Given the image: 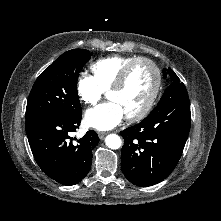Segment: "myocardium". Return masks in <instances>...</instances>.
<instances>
[{"label": "myocardium", "instance_id": "myocardium-1", "mask_svg": "<svg viewBox=\"0 0 221 221\" xmlns=\"http://www.w3.org/2000/svg\"><path fill=\"white\" fill-rule=\"evenodd\" d=\"M138 63H146L153 69L154 74H155V82H154V87H153L152 93H151L147 103L144 105V107L136 114L126 117L127 121H129V122L140 121V120L144 119L150 113V111L152 110V108L154 107V105L156 103V100L159 96V93L161 90V85H162L161 70H160L159 66L156 64V62L150 58H147V57H137L134 60H132L131 62H129L121 70L117 79L115 80L113 85L108 90V94L111 92L119 91L124 87L131 70Z\"/></svg>", "mask_w": 221, "mask_h": 221}]
</instances>
